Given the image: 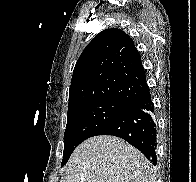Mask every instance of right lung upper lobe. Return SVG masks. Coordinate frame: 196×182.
<instances>
[{"instance_id": "obj_1", "label": "right lung upper lobe", "mask_w": 196, "mask_h": 182, "mask_svg": "<svg viewBox=\"0 0 196 182\" xmlns=\"http://www.w3.org/2000/svg\"><path fill=\"white\" fill-rule=\"evenodd\" d=\"M145 77L130 36L118 28L103 30L85 47L75 65L68 111L102 99L132 105L148 87Z\"/></svg>"}]
</instances>
